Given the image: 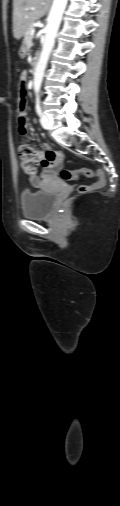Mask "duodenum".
I'll return each mask as SVG.
<instances>
[{"mask_svg":"<svg viewBox=\"0 0 120 506\" xmlns=\"http://www.w3.org/2000/svg\"><path fill=\"white\" fill-rule=\"evenodd\" d=\"M37 64H38V56L34 58V66H33L34 71L36 70Z\"/></svg>","mask_w":120,"mask_h":506,"instance_id":"410a0bca","label":"duodenum"}]
</instances>
